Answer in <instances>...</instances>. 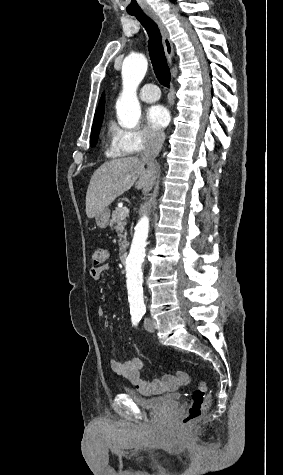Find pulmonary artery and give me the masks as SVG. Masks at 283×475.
Segmentation results:
<instances>
[{
    "label": "pulmonary artery",
    "mask_w": 283,
    "mask_h": 475,
    "mask_svg": "<svg viewBox=\"0 0 283 475\" xmlns=\"http://www.w3.org/2000/svg\"><path fill=\"white\" fill-rule=\"evenodd\" d=\"M124 90H137V89H124ZM142 94L140 99L144 102H155L158 100V96L160 94V89L156 87L154 84H147L141 90Z\"/></svg>",
    "instance_id": "obj_1"
}]
</instances>
